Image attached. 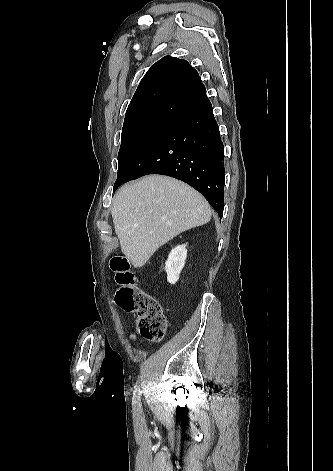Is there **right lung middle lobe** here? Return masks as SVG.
Instances as JSON below:
<instances>
[{
	"mask_svg": "<svg viewBox=\"0 0 333 471\" xmlns=\"http://www.w3.org/2000/svg\"><path fill=\"white\" fill-rule=\"evenodd\" d=\"M176 118L157 114L126 117L121 135V146L118 154L119 179L135 158Z\"/></svg>",
	"mask_w": 333,
	"mask_h": 471,
	"instance_id": "obj_1",
	"label": "right lung middle lobe"
}]
</instances>
